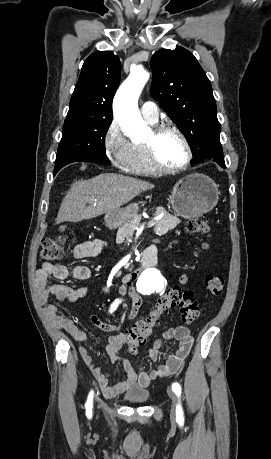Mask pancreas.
I'll use <instances>...</instances> for the list:
<instances>
[{
	"instance_id": "1",
	"label": "pancreas",
	"mask_w": 271,
	"mask_h": 459,
	"mask_svg": "<svg viewBox=\"0 0 271 459\" xmlns=\"http://www.w3.org/2000/svg\"><path fill=\"white\" fill-rule=\"evenodd\" d=\"M162 212V210H161ZM164 216L161 218V220H153L152 222L155 224L154 231L156 233H160V235H163V233L168 232H173L175 228L178 226V221L174 218V216H170V214H167V212H163ZM156 216H159V214H156ZM139 226L138 222H135V220H132L130 224H125V226H121V228L118 229L117 231V239L118 241H122V239H129L131 235H133V229L137 228Z\"/></svg>"
}]
</instances>
